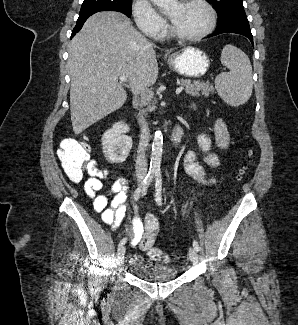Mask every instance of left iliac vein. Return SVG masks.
<instances>
[{
  "label": "left iliac vein",
  "instance_id": "left-iliac-vein-1",
  "mask_svg": "<svg viewBox=\"0 0 298 325\" xmlns=\"http://www.w3.org/2000/svg\"><path fill=\"white\" fill-rule=\"evenodd\" d=\"M189 258L191 260V262L196 265L198 263L199 257H198V253L195 250V248H189V252H188Z\"/></svg>",
  "mask_w": 298,
  "mask_h": 325
}]
</instances>
